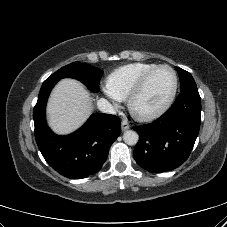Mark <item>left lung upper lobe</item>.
Here are the masks:
<instances>
[{
	"instance_id": "left-lung-upper-lobe-1",
	"label": "left lung upper lobe",
	"mask_w": 227,
	"mask_h": 227,
	"mask_svg": "<svg viewBox=\"0 0 227 227\" xmlns=\"http://www.w3.org/2000/svg\"><path fill=\"white\" fill-rule=\"evenodd\" d=\"M177 71L180 77V85H181V90L184 88H187L192 85H196L193 77L191 74L179 67H177Z\"/></svg>"
}]
</instances>
